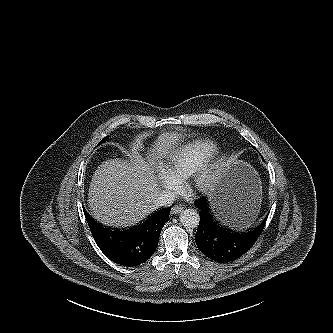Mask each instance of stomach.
<instances>
[{"instance_id": "1", "label": "stomach", "mask_w": 333, "mask_h": 333, "mask_svg": "<svg viewBox=\"0 0 333 333\" xmlns=\"http://www.w3.org/2000/svg\"><path fill=\"white\" fill-rule=\"evenodd\" d=\"M261 182L248 163L229 159L211 193V204L220 225L229 231H242L254 224L261 203Z\"/></svg>"}]
</instances>
